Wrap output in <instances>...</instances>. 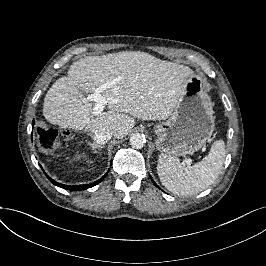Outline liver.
I'll return each mask as SVG.
<instances>
[{
	"label": "liver",
	"mask_w": 266,
	"mask_h": 266,
	"mask_svg": "<svg viewBox=\"0 0 266 266\" xmlns=\"http://www.w3.org/2000/svg\"><path fill=\"white\" fill-rule=\"evenodd\" d=\"M194 73L187 66L165 62L144 52H119L89 56L73 63L68 76L58 78L48 89L43 116L52 125L91 133L109 130L122 139L141 121L166 120L186 92ZM113 86L101 91L108 102L107 112L93 114V102L84 94L105 83Z\"/></svg>",
	"instance_id": "1"
}]
</instances>
